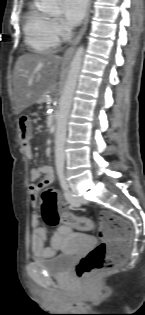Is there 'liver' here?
I'll return each instance as SVG.
<instances>
[{
	"mask_svg": "<svg viewBox=\"0 0 145 315\" xmlns=\"http://www.w3.org/2000/svg\"><path fill=\"white\" fill-rule=\"evenodd\" d=\"M63 67V60L53 53L24 54L15 64L12 103L14 113L39 101L47 90L54 89Z\"/></svg>",
	"mask_w": 145,
	"mask_h": 315,
	"instance_id": "liver-1",
	"label": "liver"
}]
</instances>
